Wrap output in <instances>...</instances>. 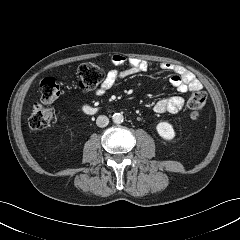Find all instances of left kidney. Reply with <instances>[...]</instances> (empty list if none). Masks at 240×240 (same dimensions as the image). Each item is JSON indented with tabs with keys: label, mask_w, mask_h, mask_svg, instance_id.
Masks as SVG:
<instances>
[{
	"label": "left kidney",
	"mask_w": 240,
	"mask_h": 240,
	"mask_svg": "<svg viewBox=\"0 0 240 240\" xmlns=\"http://www.w3.org/2000/svg\"><path fill=\"white\" fill-rule=\"evenodd\" d=\"M158 134L165 140H171L175 137L173 126L168 122H160L156 126Z\"/></svg>",
	"instance_id": "1"
}]
</instances>
